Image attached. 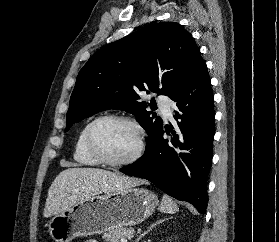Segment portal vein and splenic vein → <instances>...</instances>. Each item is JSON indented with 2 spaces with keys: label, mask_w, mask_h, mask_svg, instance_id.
Wrapping results in <instances>:
<instances>
[{
  "label": "portal vein and splenic vein",
  "mask_w": 279,
  "mask_h": 242,
  "mask_svg": "<svg viewBox=\"0 0 279 242\" xmlns=\"http://www.w3.org/2000/svg\"><path fill=\"white\" fill-rule=\"evenodd\" d=\"M121 242H127V239H121Z\"/></svg>",
  "instance_id": "1"
}]
</instances>
